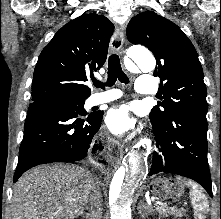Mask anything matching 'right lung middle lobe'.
Returning <instances> with one entry per match:
<instances>
[{
	"label": "right lung middle lobe",
	"mask_w": 221,
	"mask_h": 219,
	"mask_svg": "<svg viewBox=\"0 0 221 219\" xmlns=\"http://www.w3.org/2000/svg\"><path fill=\"white\" fill-rule=\"evenodd\" d=\"M85 99H75V98H55L39 101L37 103H68L72 105L79 113L87 115V112L84 110Z\"/></svg>",
	"instance_id": "obj_1"
}]
</instances>
